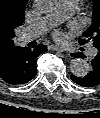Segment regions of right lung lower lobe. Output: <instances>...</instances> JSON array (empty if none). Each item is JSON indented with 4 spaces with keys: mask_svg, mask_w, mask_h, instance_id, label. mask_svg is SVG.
<instances>
[{
    "mask_svg": "<svg viewBox=\"0 0 100 118\" xmlns=\"http://www.w3.org/2000/svg\"><path fill=\"white\" fill-rule=\"evenodd\" d=\"M46 46L18 47L14 52L0 57V77L9 84H25L36 75L37 57L46 52Z\"/></svg>",
    "mask_w": 100,
    "mask_h": 118,
    "instance_id": "98d812e1",
    "label": "right lung lower lobe"
}]
</instances>
